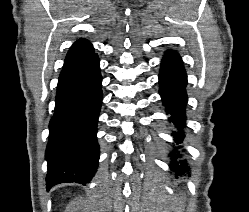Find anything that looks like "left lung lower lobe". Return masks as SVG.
Instances as JSON below:
<instances>
[{"mask_svg": "<svg viewBox=\"0 0 249 212\" xmlns=\"http://www.w3.org/2000/svg\"><path fill=\"white\" fill-rule=\"evenodd\" d=\"M161 64L159 74L160 95L166 108V113L171 115L169 121L182 128L185 122V105L187 102L185 91L187 75L182 60L175 51H167ZM174 138L176 143L179 144L183 141L184 135L174 132ZM173 157L174 160L170 167L176 173V176L189 171L185 161H180V164L176 161V158L180 157L179 154H173Z\"/></svg>", "mask_w": 249, "mask_h": 212, "instance_id": "1", "label": "left lung lower lobe"}]
</instances>
